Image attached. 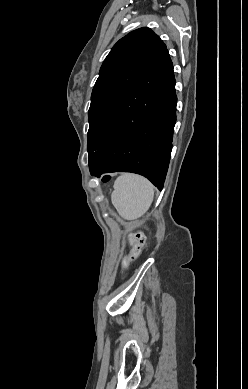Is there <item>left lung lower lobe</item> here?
Wrapping results in <instances>:
<instances>
[{
	"mask_svg": "<svg viewBox=\"0 0 248 389\" xmlns=\"http://www.w3.org/2000/svg\"><path fill=\"white\" fill-rule=\"evenodd\" d=\"M177 96L173 65L166 50L95 121L106 144L89 156L91 175L133 172L159 190L168 170Z\"/></svg>",
	"mask_w": 248,
	"mask_h": 389,
	"instance_id": "1",
	"label": "left lung lower lobe"
}]
</instances>
